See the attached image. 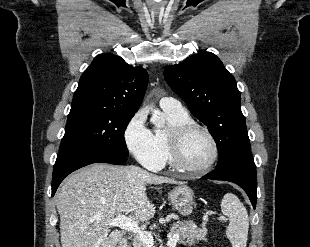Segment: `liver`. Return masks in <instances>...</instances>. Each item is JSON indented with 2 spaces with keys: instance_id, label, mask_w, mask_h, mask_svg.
<instances>
[{
  "instance_id": "obj_1",
  "label": "liver",
  "mask_w": 310,
  "mask_h": 247,
  "mask_svg": "<svg viewBox=\"0 0 310 247\" xmlns=\"http://www.w3.org/2000/svg\"><path fill=\"white\" fill-rule=\"evenodd\" d=\"M163 183L179 182L133 165L99 163L71 174L55 194L62 247H116L123 232L111 231V220L122 213L151 219L155 207L146 186Z\"/></svg>"
}]
</instances>
